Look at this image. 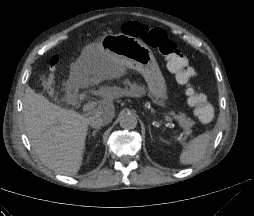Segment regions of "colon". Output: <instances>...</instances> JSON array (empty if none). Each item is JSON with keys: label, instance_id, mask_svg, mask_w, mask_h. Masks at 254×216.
Segmentation results:
<instances>
[{"label": "colon", "instance_id": "5ec220e1", "mask_svg": "<svg viewBox=\"0 0 254 216\" xmlns=\"http://www.w3.org/2000/svg\"><path fill=\"white\" fill-rule=\"evenodd\" d=\"M123 32L145 41L166 58L169 69L177 73L178 81L187 85L188 101L193 108L195 117L203 123L211 122L214 118V108L192 83L193 72L189 67L187 58L178 50L166 32L160 28L135 22L125 23ZM55 61H57L56 57ZM53 83V74L46 75L43 80L44 87H51Z\"/></svg>", "mask_w": 254, "mask_h": 216}]
</instances>
